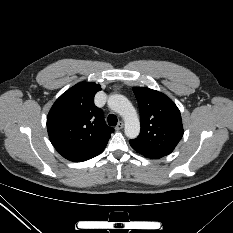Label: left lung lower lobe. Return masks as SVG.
<instances>
[{
	"mask_svg": "<svg viewBox=\"0 0 233 233\" xmlns=\"http://www.w3.org/2000/svg\"><path fill=\"white\" fill-rule=\"evenodd\" d=\"M130 145L131 147L137 151L138 153H140L141 155L147 157V158H151V159H159L161 157H163L162 155L153 153L151 151H148L145 148H142L141 146H139L138 144H136L134 141L130 140Z\"/></svg>",
	"mask_w": 233,
	"mask_h": 233,
	"instance_id": "1",
	"label": "left lung lower lobe"
}]
</instances>
